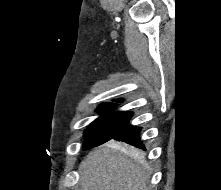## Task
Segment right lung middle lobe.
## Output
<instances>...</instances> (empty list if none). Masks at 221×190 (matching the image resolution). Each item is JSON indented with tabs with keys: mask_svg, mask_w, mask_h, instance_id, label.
<instances>
[{
	"mask_svg": "<svg viewBox=\"0 0 221 190\" xmlns=\"http://www.w3.org/2000/svg\"><path fill=\"white\" fill-rule=\"evenodd\" d=\"M115 106L100 105L97 111L101 116L90 124L84 133L85 149L99 146L117 135L130 121L132 112L113 110Z\"/></svg>",
	"mask_w": 221,
	"mask_h": 190,
	"instance_id": "obj_1",
	"label": "right lung middle lobe"
}]
</instances>
